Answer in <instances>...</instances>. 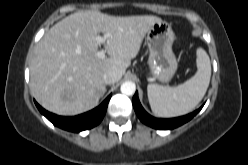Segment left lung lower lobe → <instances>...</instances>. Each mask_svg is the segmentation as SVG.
<instances>
[{"instance_id": "1", "label": "left lung lower lobe", "mask_w": 248, "mask_h": 165, "mask_svg": "<svg viewBox=\"0 0 248 165\" xmlns=\"http://www.w3.org/2000/svg\"><path fill=\"white\" fill-rule=\"evenodd\" d=\"M134 110L138 116V118L146 125H149L152 128L160 129V130H168V129H174L189 120L193 118L203 107H200L198 110L194 111L193 113H190L188 115L172 118V119H158L154 118L151 115H149L141 106L139 99H138V93L136 92L132 99Z\"/></svg>"}]
</instances>
